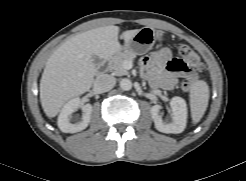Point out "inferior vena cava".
Segmentation results:
<instances>
[{
	"mask_svg": "<svg viewBox=\"0 0 246 181\" xmlns=\"http://www.w3.org/2000/svg\"><path fill=\"white\" fill-rule=\"evenodd\" d=\"M116 84V79L109 74H101L99 75L95 82L94 88L98 92H105L112 89Z\"/></svg>",
	"mask_w": 246,
	"mask_h": 181,
	"instance_id": "602c4592",
	"label": "inferior vena cava"
}]
</instances>
